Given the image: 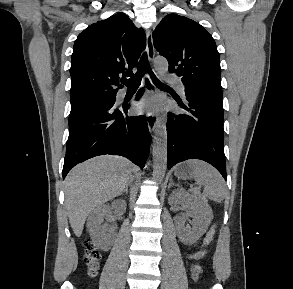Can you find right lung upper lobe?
I'll list each match as a JSON object with an SVG mask.
<instances>
[{"instance_id": "cb5924a9", "label": "right lung upper lobe", "mask_w": 293, "mask_h": 289, "mask_svg": "<svg viewBox=\"0 0 293 289\" xmlns=\"http://www.w3.org/2000/svg\"><path fill=\"white\" fill-rule=\"evenodd\" d=\"M145 47L143 29L122 12L86 28L78 35L71 56V103L116 95L122 88L119 77L133 75Z\"/></svg>"}]
</instances>
